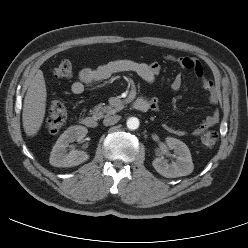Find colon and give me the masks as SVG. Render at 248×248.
Here are the masks:
<instances>
[{
	"instance_id": "1",
	"label": "colon",
	"mask_w": 248,
	"mask_h": 248,
	"mask_svg": "<svg viewBox=\"0 0 248 248\" xmlns=\"http://www.w3.org/2000/svg\"><path fill=\"white\" fill-rule=\"evenodd\" d=\"M54 75L60 79H66L72 76L73 66L70 60L64 59L60 61L54 68ZM67 119V110L65 105L60 101H54L49 107V114L46 120V128L50 133L58 132L65 124ZM218 133L216 131H204L201 134V142L204 147L212 148L218 141Z\"/></svg>"
}]
</instances>
